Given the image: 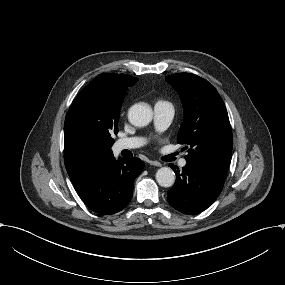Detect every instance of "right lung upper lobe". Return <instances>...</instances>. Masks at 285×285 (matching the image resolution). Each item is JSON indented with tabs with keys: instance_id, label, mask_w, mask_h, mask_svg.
Instances as JSON below:
<instances>
[{
	"instance_id": "cb5924a9",
	"label": "right lung upper lobe",
	"mask_w": 285,
	"mask_h": 285,
	"mask_svg": "<svg viewBox=\"0 0 285 285\" xmlns=\"http://www.w3.org/2000/svg\"><path fill=\"white\" fill-rule=\"evenodd\" d=\"M137 80L127 74H101L78 94L73 106L88 119L101 117L109 111H120L128 87ZM113 159L111 149L78 147L65 143V167L75 189Z\"/></svg>"
}]
</instances>
